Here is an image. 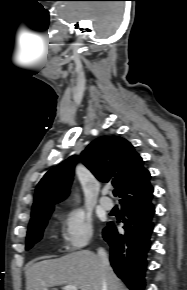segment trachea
I'll list each match as a JSON object with an SVG mask.
<instances>
[{
  "label": "trachea",
  "mask_w": 187,
  "mask_h": 290,
  "mask_svg": "<svg viewBox=\"0 0 187 290\" xmlns=\"http://www.w3.org/2000/svg\"><path fill=\"white\" fill-rule=\"evenodd\" d=\"M114 196L118 195V192L116 190L113 191Z\"/></svg>",
  "instance_id": "obj_1"
}]
</instances>
